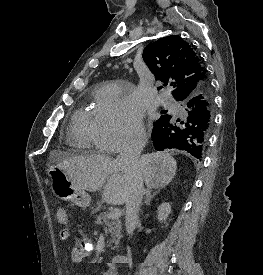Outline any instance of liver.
<instances>
[{
	"mask_svg": "<svg viewBox=\"0 0 263 275\" xmlns=\"http://www.w3.org/2000/svg\"><path fill=\"white\" fill-rule=\"evenodd\" d=\"M49 159L56 162L77 188L96 192L104 187L102 199L106 203H126L129 181L117 159L99 154L67 157L60 151H52ZM139 165L143 182L150 190L169 185L177 169L176 160L167 152L144 154L139 158Z\"/></svg>",
	"mask_w": 263,
	"mask_h": 275,
	"instance_id": "6515ba94",
	"label": "liver"
}]
</instances>
